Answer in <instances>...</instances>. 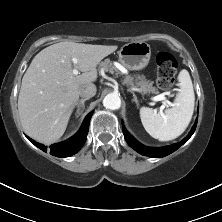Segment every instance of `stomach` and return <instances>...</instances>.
<instances>
[{"label": "stomach", "mask_w": 222, "mask_h": 222, "mask_svg": "<svg viewBox=\"0 0 222 222\" xmlns=\"http://www.w3.org/2000/svg\"><path fill=\"white\" fill-rule=\"evenodd\" d=\"M118 54L123 66L129 70H141L149 63L151 47L144 41L130 42L123 45Z\"/></svg>", "instance_id": "obj_1"}]
</instances>
